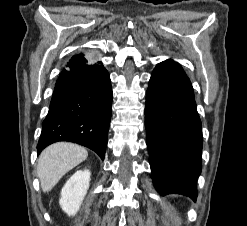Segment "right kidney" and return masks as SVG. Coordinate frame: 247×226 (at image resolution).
Returning a JSON list of instances; mask_svg holds the SVG:
<instances>
[{"label":"right kidney","mask_w":247,"mask_h":226,"mask_svg":"<svg viewBox=\"0 0 247 226\" xmlns=\"http://www.w3.org/2000/svg\"><path fill=\"white\" fill-rule=\"evenodd\" d=\"M90 175L89 170H79L68 179L62 188L59 204L69 216L75 215L79 210L89 188Z\"/></svg>","instance_id":"1"}]
</instances>
